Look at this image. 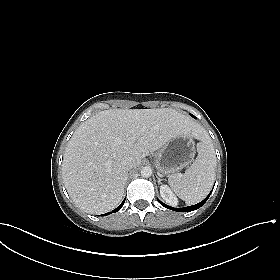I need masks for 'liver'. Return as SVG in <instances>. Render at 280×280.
Listing matches in <instances>:
<instances>
[{
    "instance_id": "1",
    "label": "liver",
    "mask_w": 280,
    "mask_h": 280,
    "mask_svg": "<svg viewBox=\"0 0 280 280\" xmlns=\"http://www.w3.org/2000/svg\"><path fill=\"white\" fill-rule=\"evenodd\" d=\"M181 134L204 138L199 124L171 108L98 112L76 129L67 144L62 174L68 194L87 213L113 210L128 178L124 158L132 156L137 167L150 152Z\"/></svg>"
}]
</instances>
